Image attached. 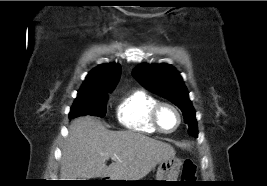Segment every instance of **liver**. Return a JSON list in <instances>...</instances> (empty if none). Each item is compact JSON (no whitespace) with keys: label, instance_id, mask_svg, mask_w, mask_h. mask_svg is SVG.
<instances>
[{"label":"liver","instance_id":"liver-1","mask_svg":"<svg viewBox=\"0 0 267 186\" xmlns=\"http://www.w3.org/2000/svg\"><path fill=\"white\" fill-rule=\"evenodd\" d=\"M117 155L118 159H112ZM175 155L174 148L134 131H109L94 117H79L69 126L62 150L61 180L109 177L137 181L163 159ZM112 163L107 166L106 161Z\"/></svg>","mask_w":267,"mask_h":186}]
</instances>
